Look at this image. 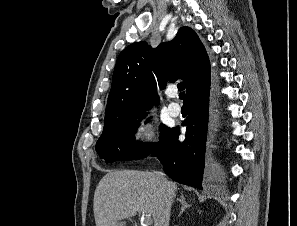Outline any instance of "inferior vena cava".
I'll list each match as a JSON object with an SVG mask.
<instances>
[{
  "label": "inferior vena cava",
  "instance_id": "obj_1",
  "mask_svg": "<svg viewBox=\"0 0 297 226\" xmlns=\"http://www.w3.org/2000/svg\"><path fill=\"white\" fill-rule=\"evenodd\" d=\"M159 175H160L165 181L167 180L166 177H165V175H164L163 173H160Z\"/></svg>",
  "mask_w": 297,
  "mask_h": 226
}]
</instances>
